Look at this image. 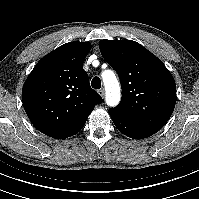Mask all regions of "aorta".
I'll use <instances>...</instances> for the list:
<instances>
[{
    "instance_id": "aorta-1",
    "label": "aorta",
    "mask_w": 199,
    "mask_h": 199,
    "mask_svg": "<svg viewBox=\"0 0 199 199\" xmlns=\"http://www.w3.org/2000/svg\"><path fill=\"white\" fill-rule=\"evenodd\" d=\"M102 79L106 91L105 101L107 105L110 107L117 106L121 99V89L115 73L106 70L102 73Z\"/></svg>"
}]
</instances>
